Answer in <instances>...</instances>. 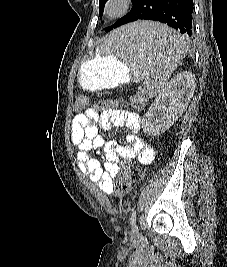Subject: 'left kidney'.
I'll use <instances>...</instances> for the list:
<instances>
[{"label": "left kidney", "instance_id": "left-kidney-1", "mask_svg": "<svg viewBox=\"0 0 227 267\" xmlns=\"http://www.w3.org/2000/svg\"><path fill=\"white\" fill-rule=\"evenodd\" d=\"M195 90V76L178 73L156 97L142 120L145 133L157 136L168 130L186 110Z\"/></svg>", "mask_w": 227, "mask_h": 267}]
</instances>
